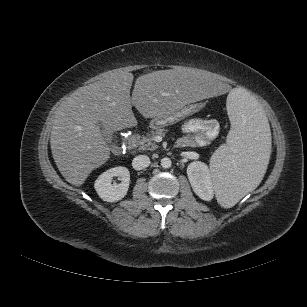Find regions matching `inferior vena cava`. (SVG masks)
Masks as SVG:
<instances>
[{"instance_id": "obj_1", "label": "inferior vena cava", "mask_w": 307, "mask_h": 307, "mask_svg": "<svg viewBox=\"0 0 307 307\" xmlns=\"http://www.w3.org/2000/svg\"><path fill=\"white\" fill-rule=\"evenodd\" d=\"M150 165V159L146 155H138L132 161L135 170H142Z\"/></svg>"}]
</instances>
